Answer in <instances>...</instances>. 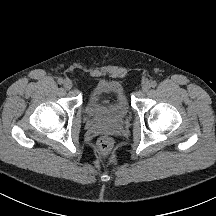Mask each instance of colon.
<instances>
[{"mask_svg": "<svg viewBox=\"0 0 216 216\" xmlns=\"http://www.w3.org/2000/svg\"><path fill=\"white\" fill-rule=\"evenodd\" d=\"M97 148L103 155H110L114 149V141L109 136H102L97 142Z\"/></svg>", "mask_w": 216, "mask_h": 216, "instance_id": "obj_1", "label": "colon"}]
</instances>
